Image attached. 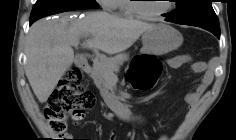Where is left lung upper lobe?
<instances>
[{
    "instance_id": "1",
    "label": "left lung upper lobe",
    "mask_w": 236,
    "mask_h": 140,
    "mask_svg": "<svg viewBox=\"0 0 236 140\" xmlns=\"http://www.w3.org/2000/svg\"><path fill=\"white\" fill-rule=\"evenodd\" d=\"M177 9L164 16L170 22L197 26L220 34L217 15L212 8V0H175Z\"/></svg>"
}]
</instances>
